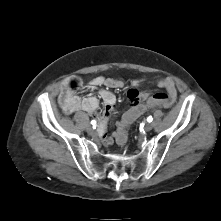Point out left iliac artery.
<instances>
[{"mask_svg":"<svg viewBox=\"0 0 221 221\" xmlns=\"http://www.w3.org/2000/svg\"><path fill=\"white\" fill-rule=\"evenodd\" d=\"M152 120H153L152 116H149V117L147 118V121H148V122H152Z\"/></svg>","mask_w":221,"mask_h":221,"instance_id":"left-iliac-artery-1","label":"left iliac artery"}]
</instances>
